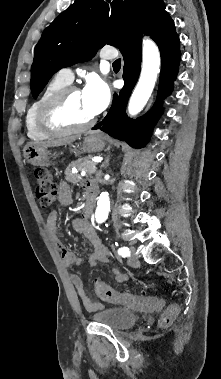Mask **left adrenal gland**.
Listing matches in <instances>:
<instances>
[{
  "mask_svg": "<svg viewBox=\"0 0 221 379\" xmlns=\"http://www.w3.org/2000/svg\"><path fill=\"white\" fill-rule=\"evenodd\" d=\"M109 160H110V158L107 157V158L105 159V161L103 162V164L101 165V167H102V168H107V167L109 166Z\"/></svg>",
  "mask_w": 221,
  "mask_h": 379,
  "instance_id": "obj_1",
  "label": "left adrenal gland"
}]
</instances>
